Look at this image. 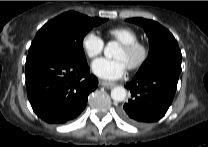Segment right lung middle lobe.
I'll return each instance as SVG.
<instances>
[{
	"label": "right lung middle lobe",
	"instance_id": "right-lung-middle-lobe-1",
	"mask_svg": "<svg viewBox=\"0 0 208 147\" xmlns=\"http://www.w3.org/2000/svg\"><path fill=\"white\" fill-rule=\"evenodd\" d=\"M106 18H90L74 11L65 12L47 22L36 34L26 61L46 55H63L86 63L83 50L85 35Z\"/></svg>",
	"mask_w": 208,
	"mask_h": 147
}]
</instances>
